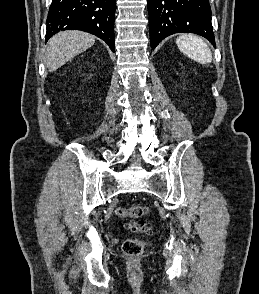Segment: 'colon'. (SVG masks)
<instances>
[{"instance_id": "1", "label": "colon", "mask_w": 259, "mask_h": 294, "mask_svg": "<svg viewBox=\"0 0 259 294\" xmlns=\"http://www.w3.org/2000/svg\"><path fill=\"white\" fill-rule=\"evenodd\" d=\"M148 208L144 206H131V207H119L116 209V214L120 217L139 219L147 215ZM126 229L131 231H139L149 233L151 231V225L144 221H130L124 224ZM146 243L139 238L126 239L122 244V250L124 254L132 257L139 256L143 253Z\"/></svg>"}]
</instances>
